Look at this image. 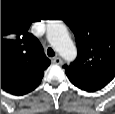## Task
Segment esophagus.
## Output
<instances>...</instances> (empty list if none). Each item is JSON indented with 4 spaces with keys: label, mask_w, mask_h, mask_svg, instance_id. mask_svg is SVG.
Instances as JSON below:
<instances>
[{
    "label": "esophagus",
    "mask_w": 115,
    "mask_h": 114,
    "mask_svg": "<svg viewBox=\"0 0 115 114\" xmlns=\"http://www.w3.org/2000/svg\"><path fill=\"white\" fill-rule=\"evenodd\" d=\"M52 62L57 64V65H61L63 63V61H62V59L60 57L52 58Z\"/></svg>",
    "instance_id": "esophagus-1"
}]
</instances>
